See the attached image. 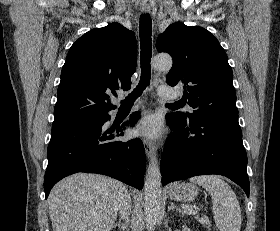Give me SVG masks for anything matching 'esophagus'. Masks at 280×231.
I'll list each match as a JSON object with an SVG mask.
<instances>
[{
    "instance_id": "obj_1",
    "label": "esophagus",
    "mask_w": 280,
    "mask_h": 231,
    "mask_svg": "<svg viewBox=\"0 0 280 231\" xmlns=\"http://www.w3.org/2000/svg\"><path fill=\"white\" fill-rule=\"evenodd\" d=\"M150 7L148 6H142L141 11L143 13H149L150 12ZM143 145L145 148V153L148 159H152L155 156V146L154 144L149 141L148 139H143Z\"/></svg>"
}]
</instances>
